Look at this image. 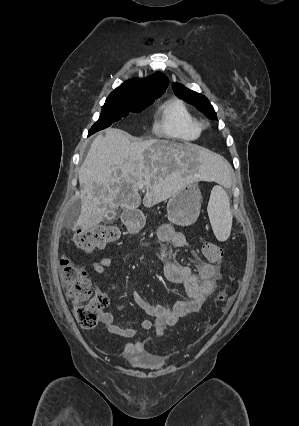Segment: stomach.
I'll use <instances>...</instances> for the list:
<instances>
[{
  "mask_svg": "<svg viewBox=\"0 0 299 426\" xmlns=\"http://www.w3.org/2000/svg\"><path fill=\"white\" fill-rule=\"evenodd\" d=\"M202 195L195 184H188L177 190L167 203L170 221L179 226H189L196 222L201 209Z\"/></svg>",
  "mask_w": 299,
  "mask_h": 426,
  "instance_id": "stomach-1",
  "label": "stomach"
}]
</instances>
